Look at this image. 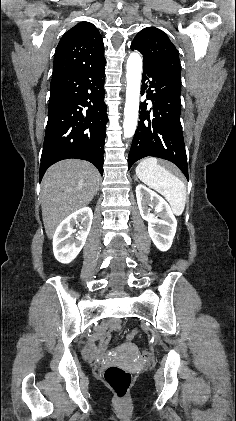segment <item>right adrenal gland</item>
<instances>
[{"instance_id": "1", "label": "right adrenal gland", "mask_w": 236, "mask_h": 421, "mask_svg": "<svg viewBox=\"0 0 236 421\" xmlns=\"http://www.w3.org/2000/svg\"><path fill=\"white\" fill-rule=\"evenodd\" d=\"M97 190H99V184H97V188H96V194H97Z\"/></svg>"}]
</instances>
